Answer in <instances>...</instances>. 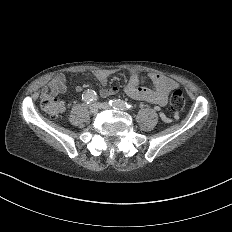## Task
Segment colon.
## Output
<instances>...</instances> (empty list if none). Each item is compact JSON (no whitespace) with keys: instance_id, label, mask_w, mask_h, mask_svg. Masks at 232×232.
<instances>
[{"instance_id":"obj_1","label":"colon","mask_w":232,"mask_h":232,"mask_svg":"<svg viewBox=\"0 0 232 232\" xmlns=\"http://www.w3.org/2000/svg\"><path fill=\"white\" fill-rule=\"evenodd\" d=\"M169 98L172 100L170 102V113H183V108H185V94L184 90L179 88H173L169 92ZM41 106H45V110H48V113H61L62 109L60 105H57L56 96H51L48 98H41ZM51 119H58V114H51Z\"/></svg>"}]
</instances>
